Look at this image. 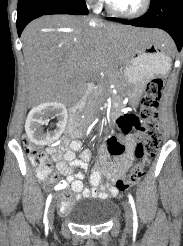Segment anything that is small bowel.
<instances>
[{"label":"small bowel","instance_id":"c3829d8e","mask_svg":"<svg viewBox=\"0 0 183 246\" xmlns=\"http://www.w3.org/2000/svg\"><path fill=\"white\" fill-rule=\"evenodd\" d=\"M138 138V135L135 134H128L125 137L118 138L127 148L125 155H122V157H112V155H109L107 145L106 147L102 146L98 152L97 166L90 174L86 185L82 181L84 173L80 171L74 174L73 171L77 168L84 171L89 168L90 151L84 149L81 151L79 158H76L75 153L81 150L82 142L79 139L61 140L58 146L48 149V153L57 162L59 173L66 177L65 181H61L56 185V190H65L70 187L77 200L89 197L107 198L108 195L116 196L119 192L117 188L108 186L103 181V177L106 176L116 181L124 176L134 159V150ZM61 201L67 206V209L62 213H66L70 209L73 200L69 195L63 194Z\"/></svg>","mask_w":183,"mask_h":246}]
</instances>
